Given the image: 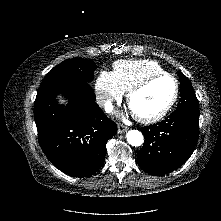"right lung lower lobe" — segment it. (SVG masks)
Masks as SVG:
<instances>
[{"label": "right lung lower lobe", "mask_w": 221, "mask_h": 221, "mask_svg": "<svg viewBox=\"0 0 221 221\" xmlns=\"http://www.w3.org/2000/svg\"><path fill=\"white\" fill-rule=\"evenodd\" d=\"M68 98L66 107L56 95ZM88 82L39 89L34 117L40 146L58 169L75 177L93 175L104 164L106 143L117 126L95 102Z\"/></svg>", "instance_id": "right-lung-lower-lobe-1"}]
</instances>
